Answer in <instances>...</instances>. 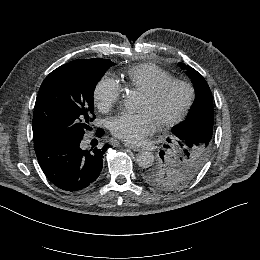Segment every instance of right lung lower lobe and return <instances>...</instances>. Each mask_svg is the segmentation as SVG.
<instances>
[{"label":"right lung lower lobe","mask_w":260,"mask_h":260,"mask_svg":"<svg viewBox=\"0 0 260 260\" xmlns=\"http://www.w3.org/2000/svg\"><path fill=\"white\" fill-rule=\"evenodd\" d=\"M97 136L103 135L98 129ZM82 139L56 140L35 147L38 162L47 178L59 189L78 192L92 185L103 167V155L109 147L83 150Z\"/></svg>","instance_id":"obj_1"}]
</instances>
